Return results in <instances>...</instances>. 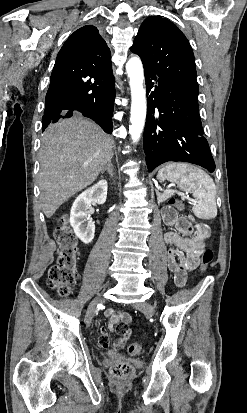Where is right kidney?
<instances>
[{"mask_svg": "<svg viewBox=\"0 0 247 413\" xmlns=\"http://www.w3.org/2000/svg\"><path fill=\"white\" fill-rule=\"evenodd\" d=\"M108 182L99 180L94 186L86 188L76 196L70 211V225L76 237L88 245L94 239L95 225L89 217V204H104L107 198Z\"/></svg>", "mask_w": 247, "mask_h": 413, "instance_id": "ca27d5eb", "label": "right kidney"}]
</instances>
